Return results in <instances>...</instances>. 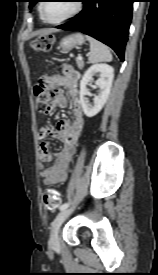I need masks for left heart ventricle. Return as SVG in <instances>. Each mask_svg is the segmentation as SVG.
Returning a JSON list of instances; mask_svg holds the SVG:
<instances>
[{
	"label": "left heart ventricle",
	"mask_w": 158,
	"mask_h": 275,
	"mask_svg": "<svg viewBox=\"0 0 158 275\" xmlns=\"http://www.w3.org/2000/svg\"><path fill=\"white\" fill-rule=\"evenodd\" d=\"M75 1L72 0H54L47 1L43 7V13L46 19L57 21L72 12Z\"/></svg>",
	"instance_id": "obj_1"
}]
</instances>
